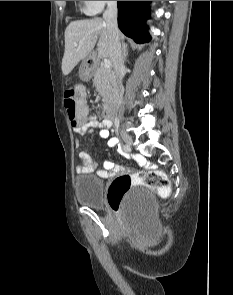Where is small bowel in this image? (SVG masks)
<instances>
[{"label":"small bowel","mask_w":233,"mask_h":295,"mask_svg":"<svg viewBox=\"0 0 233 295\" xmlns=\"http://www.w3.org/2000/svg\"><path fill=\"white\" fill-rule=\"evenodd\" d=\"M112 125L110 119H104L102 121L97 120L94 115L86 116L85 120L78 125H73V130L79 134H86L92 129H98L99 135L102 139H108V147L113 148L118 145V139L115 137H109V129ZM80 164L76 167L78 173H92L96 172L97 176L100 178H110L124 168L112 160H105L103 163V169L96 170V164L93 161L88 150L83 149L79 153Z\"/></svg>","instance_id":"obj_1"}]
</instances>
